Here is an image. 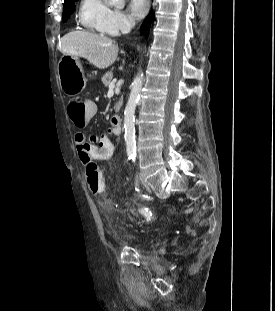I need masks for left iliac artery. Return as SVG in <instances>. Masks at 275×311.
I'll return each mask as SVG.
<instances>
[{
    "mask_svg": "<svg viewBox=\"0 0 275 311\" xmlns=\"http://www.w3.org/2000/svg\"><path fill=\"white\" fill-rule=\"evenodd\" d=\"M135 158H136V154H132V159H133V161H135ZM138 184H137V180H136V186H137ZM136 190H137V188H136ZM147 211H148V209H147ZM152 215V213H148L147 214V217L149 218L150 216Z\"/></svg>",
    "mask_w": 275,
    "mask_h": 311,
    "instance_id": "44dca946",
    "label": "left iliac artery"
}]
</instances>
